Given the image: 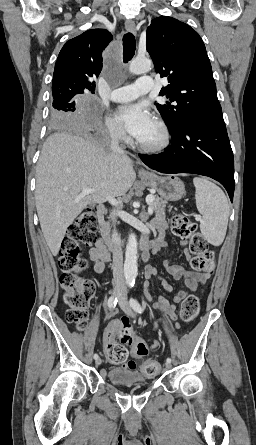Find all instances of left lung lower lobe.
<instances>
[{"mask_svg": "<svg viewBox=\"0 0 256 445\" xmlns=\"http://www.w3.org/2000/svg\"><path fill=\"white\" fill-rule=\"evenodd\" d=\"M172 144L156 155L139 154L162 173H193L219 181L230 200L234 194V160L223 118L189 116L170 131Z\"/></svg>", "mask_w": 256, "mask_h": 445, "instance_id": "1", "label": "left lung lower lobe"}]
</instances>
